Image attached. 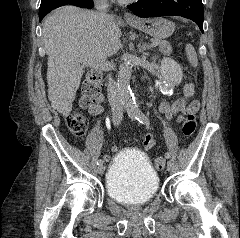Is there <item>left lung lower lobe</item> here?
I'll return each instance as SVG.
<instances>
[{"label": "left lung lower lobe", "instance_id": "1", "mask_svg": "<svg viewBox=\"0 0 240 238\" xmlns=\"http://www.w3.org/2000/svg\"><path fill=\"white\" fill-rule=\"evenodd\" d=\"M127 7L139 17L182 16L189 18L203 32L202 0H139Z\"/></svg>", "mask_w": 240, "mask_h": 238}]
</instances>
